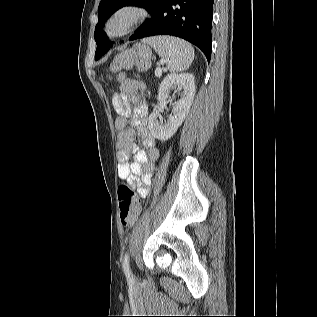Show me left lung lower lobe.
Instances as JSON below:
<instances>
[{
  "label": "left lung lower lobe",
  "instance_id": "obj_1",
  "mask_svg": "<svg viewBox=\"0 0 317 317\" xmlns=\"http://www.w3.org/2000/svg\"><path fill=\"white\" fill-rule=\"evenodd\" d=\"M213 3L214 0H162L154 17L135 39L154 35L177 36L199 47L209 62ZM110 47L105 44L103 50L108 51Z\"/></svg>",
  "mask_w": 317,
  "mask_h": 317
}]
</instances>
